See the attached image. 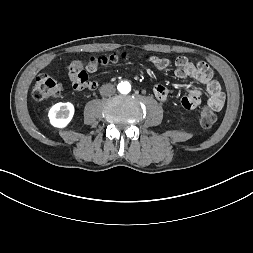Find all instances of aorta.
Listing matches in <instances>:
<instances>
[{
    "mask_svg": "<svg viewBox=\"0 0 253 253\" xmlns=\"http://www.w3.org/2000/svg\"><path fill=\"white\" fill-rule=\"evenodd\" d=\"M117 89L121 94H128L131 90V85L127 81H122L118 84Z\"/></svg>",
    "mask_w": 253,
    "mask_h": 253,
    "instance_id": "aorta-1",
    "label": "aorta"
}]
</instances>
